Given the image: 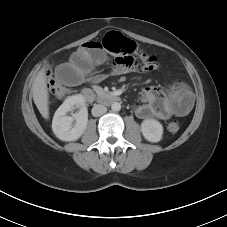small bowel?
<instances>
[{
	"label": "small bowel",
	"instance_id": "small-bowel-1",
	"mask_svg": "<svg viewBox=\"0 0 227 227\" xmlns=\"http://www.w3.org/2000/svg\"><path fill=\"white\" fill-rule=\"evenodd\" d=\"M107 59L103 45L98 41L83 43L73 54L70 63L61 64L55 71L56 80L65 87H83L87 83L103 81V75L89 76V72ZM133 57H116L112 60L113 73L118 75L138 69ZM135 113L140 119L166 120L173 115L188 114L193 107V96L183 83H173L165 93L157 86L144 88Z\"/></svg>",
	"mask_w": 227,
	"mask_h": 227
}]
</instances>
